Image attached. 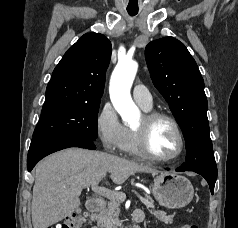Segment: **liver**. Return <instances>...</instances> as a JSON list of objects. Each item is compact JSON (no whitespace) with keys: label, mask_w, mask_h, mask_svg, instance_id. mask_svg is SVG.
I'll use <instances>...</instances> for the list:
<instances>
[{"label":"liver","mask_w":238,"mask_h":228,"mask_svg":"<svg viewBox=\"0 0 238 228\" xmlns=\"http://www.w3.org/2000/svg\"><path fill=\"white\" fill-rule=\"evenodd\" d=\"M110 173L115 184L135 173H158L157 169L101 151L69 148L40 161L35 167L32 197L34 228H48L80 206L84 187L98 185Z\"/></svg>","instance_id":"liver-1"}]
</instances>
